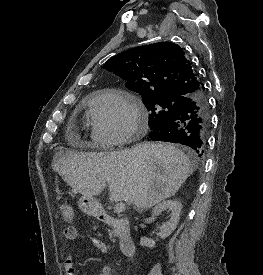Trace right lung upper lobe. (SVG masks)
<instances>
[{"label": "right lung upper lobe", "instance_id": "1", "mask_svg": "<svg viewBox=\"0 0 263 275\" xmlns=\"http://www.w3.org/2000/svg\"><path fill=\"white\" fill-rule=\"evenodd\" d=\"M104 68L119 75L129 89L142 96L191 99L204 91L185 52L172 42L129 49L110 58Z\"/></svg>", "mask_w": 263, "mask_h": 275}]
</instances>
